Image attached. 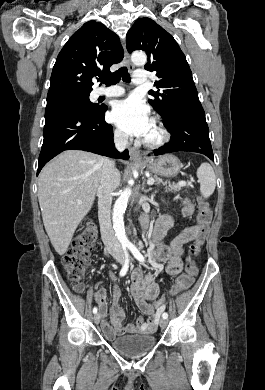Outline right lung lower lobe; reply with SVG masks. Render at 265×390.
Masks as SVG:
<instances>
[{"instance_id":"98d812e1","label":"right lung lower lobe","mask_w":265,"mask_h":390,"mask_svg":"<svg viewBox=\"0 0 265 390\" xmlns=\"http://www.w3.org/2000/svg\"><path fill=\"white\" fill-rule=\"evenodd\" d=\"M106 110L107 106L93 111L72 105L46 107L37 175L49 160L68 149L129 159L128 150L120 153L114 147L112 126L104 119Z\"/></svg>"}]
</instances>
